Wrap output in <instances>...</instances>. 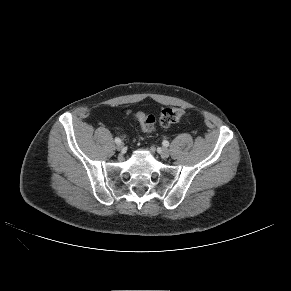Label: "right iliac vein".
<instances>
[{"label": "right iliac vein", "mask_w": 291, "mask_h": 291, "mask_svg": "<svg viewBox=\"0 0 291 291\" xmlns=\"http://www.w3.org/2000/svg\"><path fill=\"white\" fill-rule=\"evenodd\" d=\"M116 149H117L118 151H121V150L123 149V144H122V143L117 144V145H116Z\"/></svg>", "instance_id": "obj_1"}]
</instances>
